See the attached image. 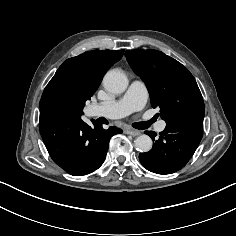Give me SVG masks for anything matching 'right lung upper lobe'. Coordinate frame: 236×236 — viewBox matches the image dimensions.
Listing matches in <instances>:
<instances>
[{
  "label": "right lung upper lobe",
  "instance_id": "obj_1",
  "mask_svg": "<svg viewBox=\"0 0 236 236\" xmlns=\"http://www.w3.org/2000/svg\"><path fill=\"white\" fill-rule=\"evenodd\" d=\"M124 50H95L67 59L46 86L40 108L47 107L49 94L58 88H72L87 97L95 93L105 72L123 56Z\"/></svg>",
  "mask_w": 236,
  "mask_h": 236
}]
</instances>
